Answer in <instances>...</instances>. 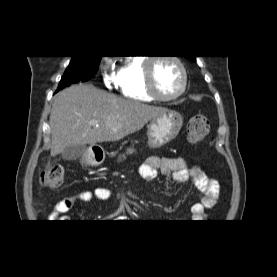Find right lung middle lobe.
<instances>
[{
  "mask_svg": "<svg viewBox=\"0 0 277 277\" xmlns=\"http://www.w3.org/2000/svg\"><path fill=\"white\" fill-rule=\"evenodd\" d=\"M102 56L98 57H77L72 56L65 74L62 76L58 89L69 86L79 81H87L92 78L97 70Z\"/></svg>",
  "mask_w": 277,
  "mask_h": 277,
  "instance_id": "dd1d6c3e",
  "label": "right lung middle lobe"
}]
</instances>
